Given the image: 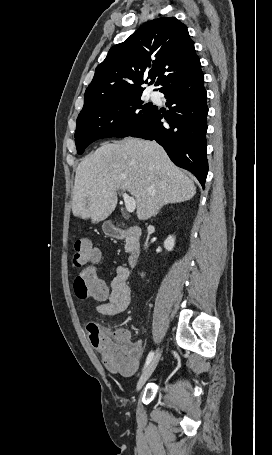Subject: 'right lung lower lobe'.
<instances>
[{
    "mask_svg": "<svg viewBox=\"0 0 272 455\" xmlns=\"http://www.w3.org/2000/svg\"><path fill=\"white\" fill-rule=\"evenodd\" d=\"M202 70L162 91L167 98L168 115L154 113L129 136L155 140L175 165L192 172L204 187L208 172L206 90ZM165 118L166 122L161 120Z\"/></svg>",
    "mask_w": 272,
    "mask_h": 455,
    "instance_id": "1",
    "label": "right lung lower lobe"
}]
</instances>
